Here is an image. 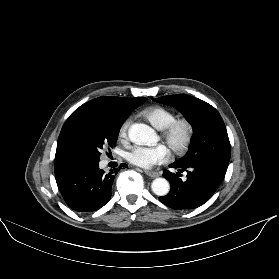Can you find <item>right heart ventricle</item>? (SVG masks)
Returning a JSON list of instances; mask_svg holds the SVG:
<instances>
[{
    "label": "right heart ventricle",
    "instance_id": "1",
    "mask_svg": "<svg viewBox=\"0 0 279 279\" xmlns=\"http://www.w3.org/2000/svg\"><path fill=\"white\" fill-rule=\"evenodd\" d=\"M143 116L157 129L162 130L172 120L176 118V114L161 106H154L145 109Z\"/></svg>",
    "mask_w": 279,
    "mask_h": 279
}]
</instances>
